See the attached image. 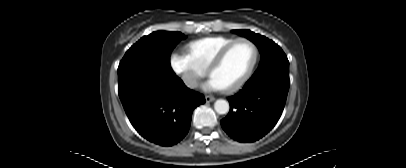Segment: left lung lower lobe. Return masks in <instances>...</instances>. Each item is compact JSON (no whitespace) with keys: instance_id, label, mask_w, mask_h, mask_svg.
Returning a JSON list of instances; mask_svg holds the SVG:
<instances>
[{"instance_id":"1","label":"left lung lower lobe","mask_w":406,"mask_h":168,"mask_svg":"<svg viewBox=\"0 0 406 168\" xmlns=\"http://www.w3.org/2000/svg\"><path fill=\"white\" fill-rule=\"evenodd\" d=\"M289 85V78L277 75L250 78L237 94L228 98L230 111L221 120L224 131L239 142L262 138L279 120Z\"/></svg>"}]
</instances>
